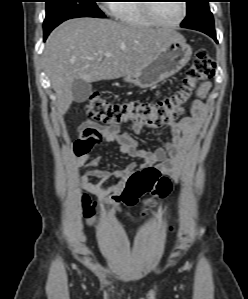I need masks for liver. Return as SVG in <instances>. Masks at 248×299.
<instances>
[{
    "label": "liver",
    "instance_id": "6515ba94",
    "mask_svg": "<svg viewBox=\"0 0 248 299\" xmlns=\"http://www.w3.org/2000/svg\"><path fill=\"white\" fill-rule=\"evenodd\" d=\"M182 39L172 29L109 19L76 18L63 22L49 35L43 53L45 69L56 93L58 115H64L74 100L71 86L75 79L91 83L133 74L168 43Z\"/></svg>",
    "mask_w": 248,
    "mask_h": 299
}]
</instances>
